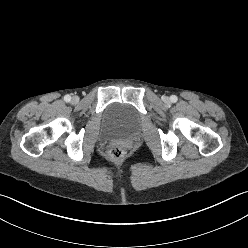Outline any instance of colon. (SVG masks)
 Listing matches in <instances>:
<instances>
[{"instance_id": "colon-1", "label": "colon", "mask_w": 248, "mask_h": 248, "mask_svg": "<svg viewBox=\"0 0 248 248\" xmlns=\"http://www.w3.org/2000/svg\"><path fill=\"white\" fill-rule=\"evenodd\" d=\"M126 154L125 147L121 144H113L110 146L107 158L114 163L120 162Z\"/></svg>"}]
</instances>
